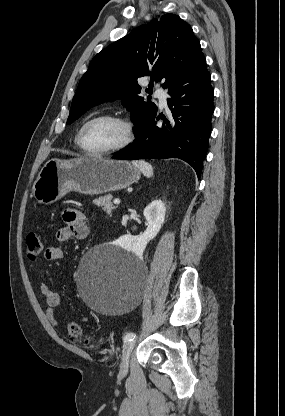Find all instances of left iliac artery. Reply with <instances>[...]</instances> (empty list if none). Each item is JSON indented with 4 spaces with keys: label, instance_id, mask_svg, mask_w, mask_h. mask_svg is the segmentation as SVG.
<instances>
[{
    "label": "left iliac artery",
    "instance_id": "44dca946",
    "mask_svg": "<svg viewBox=\"0 0 285 416\" xmlns=\"http://www.w3.org/2000/svg\"><path fill=\"white\" fill-rule=\"evenodd\" d=\"M135 337H136L135 333H133V332L127 333L123 338L124 343H127L129 341H133L135 339Z\"/></svg>",
    "mask_w": 285,
    "mask_h": 416
}]
</instances>
